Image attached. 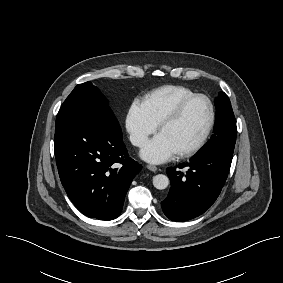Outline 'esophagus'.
Wrapping results in <instances>:
<instances>
[{
	"mask_svg": "<svg viewBox=\"0 0 283 283\" xmlns=\"http://www.w3.org/2000/svg\"><path fill=\"white\" fill-rule=\"evenodd\" d=\"M147 169H149L152 172H156L158 168L154 165H147Z\"/></svg>",
	"mask_w": 283,
	"mask_h": 283,
	"instance_id": "esophagus-1",
	"label": "esophagus"
}]
</instances>
